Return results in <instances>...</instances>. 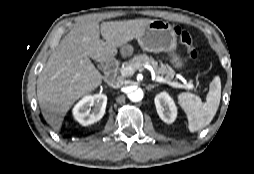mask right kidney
<instances>
[{
    "label": "right kidney",
    "instance_id": "obj_1",
    "mask_svg": "<svg viewBox=\"0 0 254 174\" xmlns=\"http://www.w3.org/2000/svg\"><path fill=\"white\" fill-rule=\"evenodd\" d=\"M107 96L95 94L83 97L73 108L74 118L83 126L99 121L105 114ZM94 106L91 111V107Z\"/></svg>",
    "mask_w": 254,
    "mask_h": 174
}]
</instances>
